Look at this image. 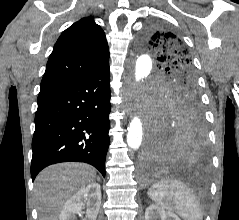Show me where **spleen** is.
Listing matches in <instances>:
<instances>
[{
    "label": "spleen",
    "mask_w": 239,
    "mask_h": 220,
    "mask_svg": "<svg viewBox=\"0 0 239 220\" xmlns=\"http://www.w3.org/2000/svg\"><path fill=\"white\" fill-rule=\"evenodd\" d=\"M148 196L161 208L177 213L184 220H202L203 210L194 192L178 180L153 184Z\"/></svg>",
    "instance_id": "spleen-1"
}]
</instances>
